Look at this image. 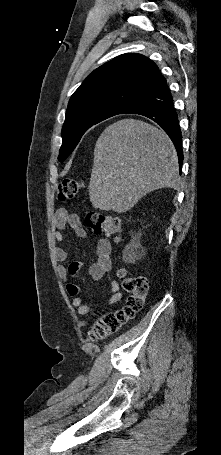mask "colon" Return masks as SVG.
Listing matches in <instances>:
<instances>
[{"mask_svg": "<svg viewBox=\"0 0 221 455\" xmlns=\"http://www.w3.org/2000/svg\"><path fill=\"white\" fill-rule=\"evenodd\" d=\"M84 187L82 180L68 178L63 180L58 189V200L67 202L72 200ZM85 222L95 234H106L119 240L122 233L121 220L118 217L90 212L86 215ZM118 275L122 286L127 294L125 306L115 312L103 315L94 325L90 336L94 340L103 339L116 332L122 324L134 317L141 311L145 304V297L148 290V280L143 275H129L120 269Z\"/></svg>", "mask_w": 221, "mask_h": 455, "instance_id": "1", "label": "colon"}]
</instances>
